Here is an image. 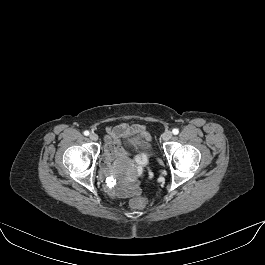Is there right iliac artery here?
<instances>
[{"label":"right iliac artery","instance_id":"obj_1","mask_svg":"<svg viewBox=\"0 0 265 265\" xmlns=\"http://www.w3.org/2000/svg\"><path fill=\"white\" fill-rule=\"evenodd\" d=\"M84 135L88 136L89 135V131H84Z\"/></svg>","mask_w":265,"mask_h":265}]
</instances>
